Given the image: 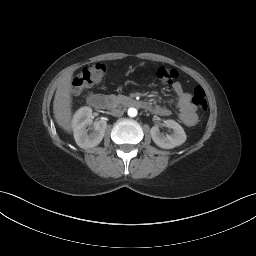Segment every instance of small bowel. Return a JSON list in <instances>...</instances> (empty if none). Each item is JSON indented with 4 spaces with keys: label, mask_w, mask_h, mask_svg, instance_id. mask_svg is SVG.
<instances>
[{
    "label": "small bowel",
    "mask_w": 256,
    "mask_h": 256,
    "mask_svg": "<svg viewBox=\"0 0 256 256\" xmlns=\"http://www.w3.org/2000/svg\"><path fill=\"white\" fill-rule=\"evenodd\" d=\"M172 89L177 97L179 118L186 126H193L197 123L198 115L195 105L191 102V95L185 92L180 82H175ZM153 113L159 116H169L170 110L164 106L156 105L151 107Z\"/></svg>",
    "instance_id": "small-bowel-1"
}]
</instances>
